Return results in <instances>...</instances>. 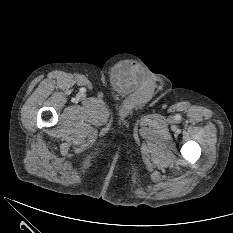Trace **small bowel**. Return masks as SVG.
<instances>
[{
  "mask_svg": "<svg viewBox=\"0 0 233 233\" xmlns=\"http://www.w3.org/2000/svg\"><path fill=\"white\" fill-rule=\"evenodd\" d=\"M143 69L137 63L123 61L115 65L111 71L114 89L121 94L131 93L143 81Z\"/></svg>",
  "mask_w": 233,
  "mask_h": 233,
  "instance_id": "c3829d8e",
  "label": "small bowel"
}]
</instances>
